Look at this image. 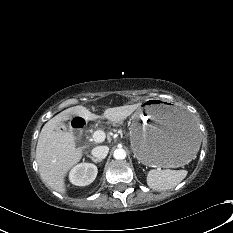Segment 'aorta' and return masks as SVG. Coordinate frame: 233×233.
<instances>
[{"mask_svg": "<svg viewBox=\"0 0 233 233\" xmlns=\"http://www.w3.org/2000/svg\"><path fill=\"white\" fill-rule=\"evenodd\" d=\"M113 156L117 160H123L126 158V151L122 148H118L114 151Z\"/></svg>", "mask_w": 233, "mask_h": 233, "instance_id": "762f6f07", "label": "aorta"}]
</instances>
